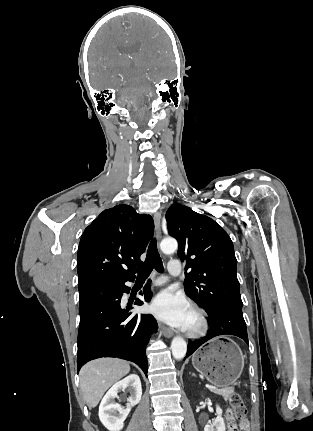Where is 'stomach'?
I'll return each instance as SVG.
<instances>
[{"mask_svg": "<svg viewBox=\"0 0 313 431\" xmlns=\"http://www.w3.org/2000/svg\"><path fill=\"white\" fill-rule=\"evenodd\" d=\"M193 367L218 388H227L241 375L244 355L228 337L210 340L192 356Z\"/></svg>", "mask_w": 313, "mask_h": 431, "instance_id": "1", "label": "stomach"}]
</instances>
